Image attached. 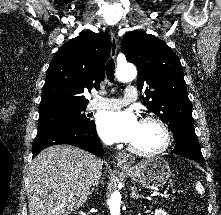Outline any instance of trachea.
<instances>
[{"mask_svg":"<svg viewBox=\"0 0 221 215\" xmlns=\"http://www.w3.org/2000/svg\"><path fill=\"white\" fill-rule=\"evenodd\" d=\"M114 73H115V63L113 59L108 60L106 64V75L110 82H114Z\"/></svg>","mask_w":221,"mask_h":215,"instance_id":"trachea-1","label":"trachea"}]
</instances>
